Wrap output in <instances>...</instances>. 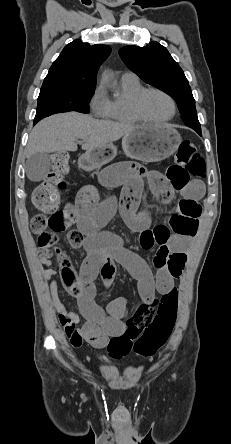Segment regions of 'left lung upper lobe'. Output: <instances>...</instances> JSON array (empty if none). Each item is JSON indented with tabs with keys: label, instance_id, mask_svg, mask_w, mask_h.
Here are the masks:
<instances>
[{
	"label": "left lung upper lobe",
	"instance_id": "5c2ea615",
	"mask_svg": "<svg viewBox=\"0 0 231 444\" xmlns=\"http://www.w3.org/2000/svg\"><path fill=\"white\" fill-rule=\"evenodd\" d=\"M120 55L125 64L143 81L172 96L185 124L201 135L195 100L188 80L165 47L158 42H151L144 47L125 46L120 50Z\"/></svg>",
	"mask_w": 231,
	"mask_h": 444
}]
</instances>
